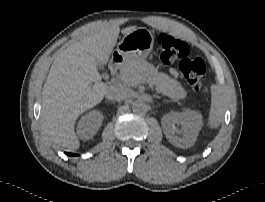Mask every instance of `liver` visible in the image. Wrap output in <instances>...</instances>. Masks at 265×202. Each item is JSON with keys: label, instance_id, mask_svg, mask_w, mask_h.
Wrapping results in <instances>:
<instances>
[{"label": "liver", "instance_id": "1", "mask_svg": "<svg viewBox=\"0 0 265 202\" xmlns=\"http://www.w3.org/2000/svg\"><path fill=\"white\" fill-rule=\"evenodd\" d=\"M136 29L130 26L121 32L126 35ZM85 32L56 55L42 90L43 131L54 143L72 151L80 147L75 133L77 118L99 104L108 89L101 82L97 62H108L120 28L97 21L88 24Z\"/></svg>", "mask_w": 265, "mask_h": 202}]
</instances>
